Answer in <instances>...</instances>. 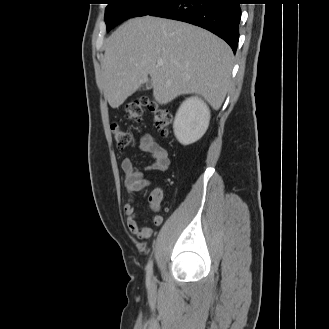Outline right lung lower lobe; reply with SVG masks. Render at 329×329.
I'll return each instance as SVG.
<instances>
[{"instance_id": "1", "label": "right lung lower lobe", "mask_w": 329, "mask_h": 329, "mask_svg": "<svg viewBox=\"0 0 329 329\" xmlns=\"http://www.w3.org/2000/svg\"><path fill=\"white\" fill-rule=\"evenodd\" d=\"M149 15L207 29L225 40L236 52L241 18L239 0H172Z\"/></svg>"}]
</instances>
